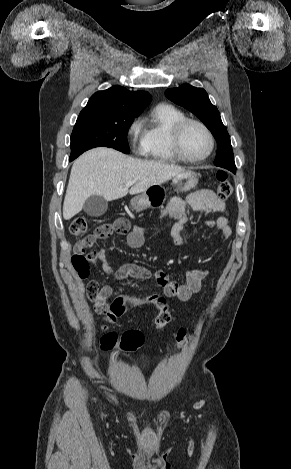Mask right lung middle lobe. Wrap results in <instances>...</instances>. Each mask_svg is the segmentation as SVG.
<instances>
[{
  "label": "right lung middle lobe",
  "instance_id": "dd1d6c3e",
  "mask_svg": "<svg viewBox=\"0 0 291 469\" xmlns=\"http://www.w3.org/2000/svg\"><path fill=\"white\" fill-rule=\"evenodd\" d=\"M135 117H98L79 115L71 134V155L74 160L84 151L106 146L129 153L127 133Z\"/></svg>",
  "mask_w": 291,
  "mask_h": 469
}]
</instances>
